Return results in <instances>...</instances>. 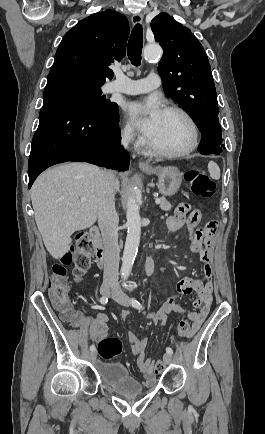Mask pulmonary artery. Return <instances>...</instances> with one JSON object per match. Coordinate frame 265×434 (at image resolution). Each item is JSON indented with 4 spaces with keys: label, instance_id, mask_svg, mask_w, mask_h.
<instances>
[{
    "label": "pulmonary artery",
    "instance_id": "e3ab8cb5",
    "mask_svg": "<svg viewBox=\"0 0 265 434\" xmlns=\"http://www.w3.org/2000/svg\"><path fill=\"white\" fill-rule=\"evenodd\" d=\"M110 88L109 92H120L129 95H136L141 93H146L150 90H155L159 83V76L155 73L145 75V78L141 79L144 81H134L125 75H118Z\"/></svg>",
    "mask_w": 265,
    "mask_h": 434
}]
</instances>
